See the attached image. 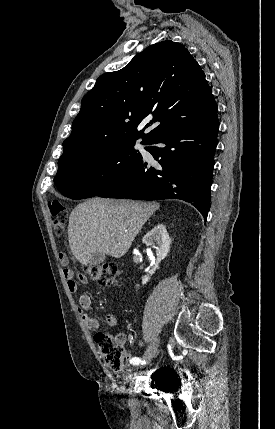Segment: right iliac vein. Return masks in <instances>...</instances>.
Returning a JSON list of instances; mask_svg holds the SVG:
<instances>
[{
  "label": "right iliac vein",
  "mask_w": 275,
  "mask_h": 429,
  "mask_svg": "<svg viewBox=\"0 0 275 429\" xmlns=\"http://www.w3.org/2000/svg\"><path fill=\"white\" fill-rule=\"evenodd\" d=\"M159 338L155 337L153 339V341L151 342V344L149 345L148 349L146 350L144 356H143V360L148 363L156 354V351L158 349L159 346ZM145 363V364H146Z\"/></svg>",
  "instance_id": "obj_1"
}]
</instances>
